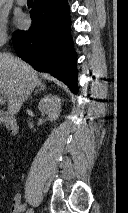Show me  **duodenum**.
<instances>
[{"instance_id": "1", "label": "duodenum", "mask_w": 128, "mask_h": 213, "mask_svg": "<svg viewBox=\"0 0 128 213\" xmlns=\"http://www.w3.org/2000/svg\"><path fill=\"white\" fill-rule=\"evenodd\" d=\"M0 123L10 134L15 135L18 133L19 126L16 118L13 115L0 110Z\"/></svg>"}]
</instances>
